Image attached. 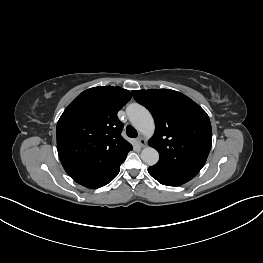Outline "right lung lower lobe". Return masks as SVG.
<instances>
[{
    "label": "right lung lower lobe",
    "mask_w": 263,
    "mask_h": 263,
    "mask_svg": "<svg viewBox=\"0 0 263 263\" xmlns=\"http://www.w3.org/2000/svg\"><path fill=\"white\" fill-rule=\"evenodd\" d=\"M123 162L119 163L118 165L113 167L111 170H109L108 172H106L102 175L92 177V178H88V179L79 181L77 183H79V184H81L87 188H91V189H96V188L102 187V186L108 184L109 182H111L117 176V174L120 171V165Z\"/></svg>",
    "instance_id": "1"
}]
</instances>
